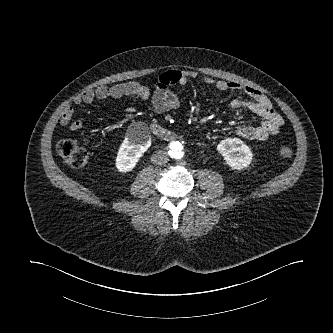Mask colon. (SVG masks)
Listing matches in <instances>:
<instances>
[{
  "mask_svg": "<svg viewBox=\"0 0 333 333\" xmlns=\"http://www.w3.org/2000/svg\"><path fill=\"white\" fill-rule=\"evenodd\" d=\"M57 151L63 163L70 168H82L89 161L88 151L73 140L65 139L60 141L57 144ZM292 153V149L286 146L281 147L278 151L281 158H290Z\"/></svg>",
  "mask_w": 333,
  "mask_h": 333,
  "instance_id": "obj_1",
  "label": "colon"
}]
</instances>
